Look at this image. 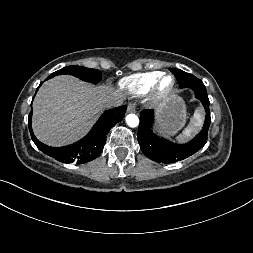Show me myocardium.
<instances>
[{"mask_svg":"<svg viewBox=\"0 0 253 253\" xmlns=\"http://www.w3.org/2000/svg\"><path fill=\"white\" fill-rule=\"evenodd\" d=\"M171 79V84L168 88L162 89L161 84L165 78ZM176 86V79L172 74L162 73L154 82L149 91V99L152 103H161L165 101L174 91Z\"/></svg>","mask_w":253,"mask_h":253,"instance_id":"myocardium-1","label":"myocardium"}]
</instances>
